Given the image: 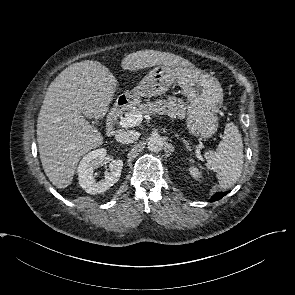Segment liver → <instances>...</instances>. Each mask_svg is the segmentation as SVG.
Instances as JSON below:
<instances>
[{"mask_svg": "<svg viewBox=\"0 0 295 295\" xmlns=\"http://www.w3.org/2000/svg\"><path fill=\"white\" fill-rule=\"evenodd\" d=\"M154 65L195 66L188 60L156 50L125 56L124 70ZM117 88V80L99 61L84 60L65 68L49 85L37 120V142L44 172L53 185L67 188L77 164L103 144V136L88 118L102 119Z\"/></svg>", "mask_w": 295, "mask_h": 295, "instance_id": "6515ba94", "label": "liver"}]
</instances>
